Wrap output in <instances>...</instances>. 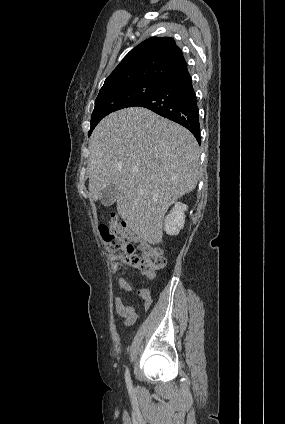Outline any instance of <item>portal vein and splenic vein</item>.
<instances>
[{
  "label": "portal vein and splenic vein",
  "instance_id": "obj_1",
  "mask_svg": "<svg viewBox=\"0 0 285 424\" xmlns=\"http://www.w3.org/2000/svg\"><path fill=\"white\" fill-rule=\"evenodd\" d=\"M132 170H133V172H138V168L137 167H134Z\"/></svg>",
  "mask_w": 285,
  "mask_h": 424
}]
</instances>
